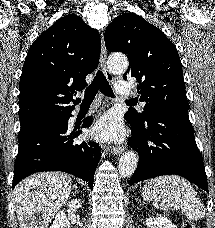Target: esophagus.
I'll use <instances>...</instances> for the list:
<instances>
[{"label": "esophagus", "instance_id": "esophagus-1", "mask_svg": "<svg viewBox=\"0 0 215 228\" xmlns=\"http://www.w3.org/2000/svg\"><path fill=\"white\" fill-rule=\"evenodd\" d=\"M100 61H101V67L104 72V75L106 76L107 80L109 82L114 81V77L110 70L107 68V50L105 47L104 37L101 36V55H100ZM125 150L124 145H120L113 148V153L116 155H121Z\"/></svg>", "mask_w": 215, "mask_h": 228}]
</instances>
